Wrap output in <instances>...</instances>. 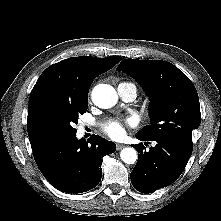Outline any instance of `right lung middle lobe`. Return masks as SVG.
Listing matches in <instances>:
<instances>
[{
    "label": "right lung middle lobe",
    "mask_w": 221,
    "mask_h": 221,
    "mask_svg": "<svg viewBox=\"0 0 221 221\" xmlns=\"http://www.w3.org/2000/svg\"><path fill=\"white\" fill-rule=\"evenodd\" d=\"M88 108L86 99H63L52 96L43 97L36 107V124L46 141L76 135L73 127L78 116Z\"/></svg>",
    "instance_id": "1"
}]
</instances>
